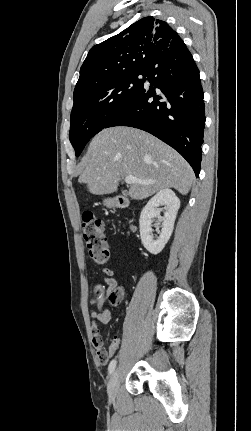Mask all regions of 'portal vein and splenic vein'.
<instances>
[{
    "label": "portal vein and splenic vein",
    "mask_w": 251,
    "mask_h": 431,
    "mask_svg": "<svg viewBox=\"0 0 251 431\" xmlns=\"http://www.w3.org/2000/svg\"><path fill=\"white\" fill-rule=\"evenodd\" d=\"M125 182L127 184H133V183H139V184H150L152 183V181H146V180H141V179H137L134 176H127L125 178Z\"/></svg>",
    "instance_id": "18ae733b"
}]
</instances>
